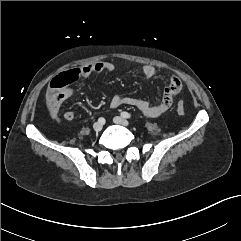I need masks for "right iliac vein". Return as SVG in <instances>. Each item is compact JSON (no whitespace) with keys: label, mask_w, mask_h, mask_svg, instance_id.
Wrapping results in <instances>:
<instances>
[{"label":"right iliac vein","mask_w":241,"mask_h":241,"mask_svg":"<svg viewBox=\"0 0 241 241\" xmlns=\"http://www.w3.org/2000/svg\"><path fill=\"white\" fill-rule=\"evenodd\" d=\"M102 127H103V124L100 123V122H96V123H94V125H93V129H94L96 132L101 131V130H102Z\"/></svg>","instance_id":"obj_1"}]
</instances>
